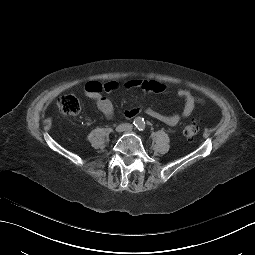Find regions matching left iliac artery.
Here are the masks:
<instances>
[{"mask_svg": "<svg viewBox=\"0 0 255 255\" xmlns=\"http://www.w3.org/2000/svg\"><path fill=\"white\" fill-rule=\"evenodd\" d=\"M138 130H139V131H144V130H145V123H141V124L138 126Z\"/></svg>", "mask_w": 255, "mask_h": 255, "instance_id": "left-iliac-artery-1", "label": "left iliac artery"}]
</instances>
